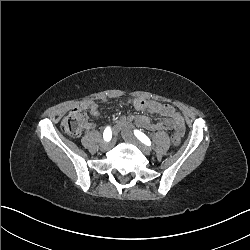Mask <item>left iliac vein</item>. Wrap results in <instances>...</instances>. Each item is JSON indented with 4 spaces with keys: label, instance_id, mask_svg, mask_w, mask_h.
<instances>
[{
    "label": "left iliac vein",
    "instance_id": "1",
    "mask_svg": "<svg viewBox=\"0 0 250 250\" xmlns=\"http://www.w3.org/2000/svg\"><path fill=\"white\" fill-rule=\"evenodd\" d=\"M122 137L126 140V141H128V142H130V143H132V144H134V145H136L140 150H141V152L144 154V155H150V149L147 147V146H145L143 143H141L140 141H138L134 136H133V134H132V132L128 129V128H125V129H123L122 130Z\"/></svg>",
    "mask_w": 250,
    "mask_h": 250
}]
</instances>
